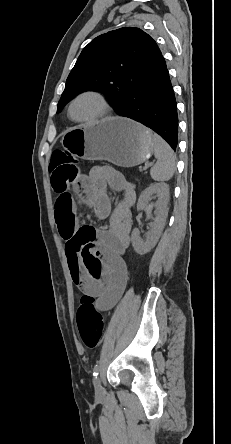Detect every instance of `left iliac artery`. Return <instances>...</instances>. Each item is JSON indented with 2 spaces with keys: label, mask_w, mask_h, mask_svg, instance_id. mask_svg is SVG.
<instances>
[{
  "label": "left iliac artery",
  "mask_w": 231,
  "mask_h": 444,
  "mask_svg": "<svg viewBox=\"0 0 231 444\" xmlns=\"http://www.w3.org/2000/svg\"><path fill=\"white\" fill-rule=\"evenodd\" d=\"M99 374V366L96 364L93 368V376L97 377Z\"/></svg>",
  "instance_id": "44dca946"
}]
</instances>
